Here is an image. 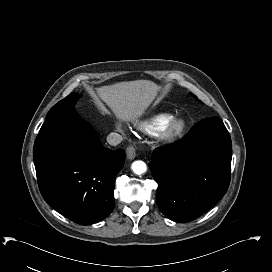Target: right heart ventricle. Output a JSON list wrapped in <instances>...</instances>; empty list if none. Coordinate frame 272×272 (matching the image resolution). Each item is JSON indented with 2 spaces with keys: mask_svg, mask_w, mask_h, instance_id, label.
<instances>
[{
  "mask_svg": "<svg viewBox=\"0 0 272 272\" xmlns=\"http://www.w3.org/2000/svg\"><path fill=\"white\" fill-rule=\"evenodd\" d=\"M173 116L163 114L152 118L151 120L142 124V130L147 134H155L162 131L172 120Z\"/></svg>",
  "mask_w": 272,
  "mask_h": 272,
  "instance_id": "e07e8e85",
  "label": "right heart ventricle"
}]
</instances>
